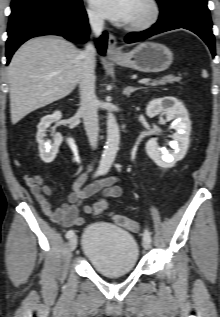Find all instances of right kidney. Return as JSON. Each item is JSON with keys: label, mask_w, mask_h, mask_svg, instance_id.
I'll use <instances>...</instances> for the list:
<instances>
[{"label": "right kidney", "mask_w": 220, "mask_h": 317, "mask_svg": "<svg viewBox=\"0 0 220 317\" xmlns=\"http://www.w3.org/2000/svg\"><path fill=\"white\" fill-rule=\"evenodd\" d=\"M62 117V114L60 111H56L51 115L44 116L39 125H38V132L36 135V140L38 142V148L40 152V158L45 163L52 162L57 153L60 144L63 141V137L60 133H56L53 135V143L51 141H45L44 137L46 136L47 128L54 122H57Z\"/></svg>", "instance_id": "1"}]
</instances>
